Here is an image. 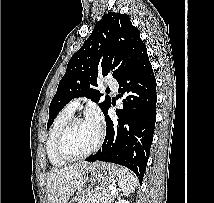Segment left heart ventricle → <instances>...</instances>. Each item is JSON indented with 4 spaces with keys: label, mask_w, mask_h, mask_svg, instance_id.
I'll use <instances>...</instances> for the list:
<instances>
[{
    "label": "left heart ventricle",
    "mask_w": 214,
    "mask_h": 203,
    "mask_svg": "<svg viewBox=\"0 0 214 203\" xmlns=\"http://www.w3.org/2000/svg\"><path fill=\"white\" fill-rule=\"evenodd\" d=\"M98 132V126L88 119L77 123L65 138V153L69 156H77L87 152L95 144Z\"/></svg>",
    "instance_id": "obj_1"
}]
</instances>
